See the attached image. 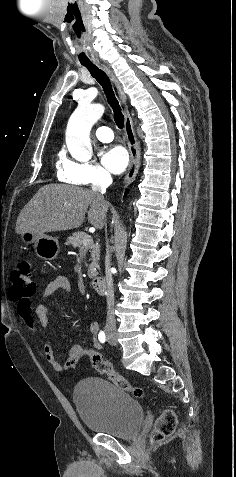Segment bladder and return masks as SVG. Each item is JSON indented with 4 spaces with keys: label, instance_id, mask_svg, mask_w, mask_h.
Wrapping results in <instances>:
<instances>
[{
    "label": "bladder",
    "instance_id": "31cf9c89",
    "mask_svg": "<svg viewBox=\"0 0 236 477\" xmlns=\"http://www.w3.org/2000/svg\"><path fill=\"white\" fill-rule=\"evenodd\" d=\"M73 399L81 421L92 432L129 438L142 427L144 410L140 402L106 379L82 380L74 389Z\"/></svg>",
    "mask_w": 236,
    "mask_h": 477
}]
</instances>
